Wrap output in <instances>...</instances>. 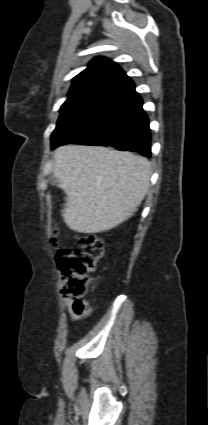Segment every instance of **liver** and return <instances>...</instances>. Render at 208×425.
I'll list each match as a JSON object with an SVG mask.
<instances>
[{"mask_svg":"<svg viewBox=\"0 0 208 425\" xmlns=\"http://www.w3.org/2000/svg\"><path fill=\"white\" fill-rule=\"evenodd\" d=\"M54 176L67 195L62 216L78 233L111 230L130 218L150 186L149 161L127 151L64 145L54 153Z\"/></svg>","mask_w":208,"mask_h":425,"instance_id":"1","label":"liver"}]
</instances>
